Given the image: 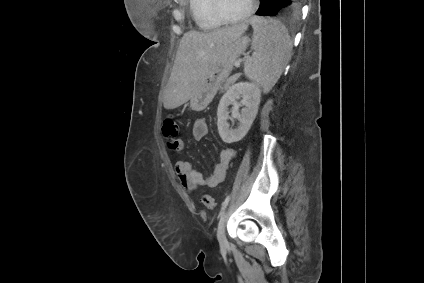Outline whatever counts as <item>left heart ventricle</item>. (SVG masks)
Returning a JSON list of instances; mask_svg holds the SVG:
<instances>
[{
    "instance_id": "b2bd125f",
    "label": "left heart ventricle",
    "mask_w": 424,
    "mask_h": 283,
    "mask_svg": "<svg viewBox=\"0 0 424 283\" xmlns=\"http://www.w3.org/2000/svg\"><path fill=\"white\" fill-rule=\"evenodd\" d=\"M223 13L228 17H238L250 6V0H221Z\"/></svg>"
}]
</instances>
